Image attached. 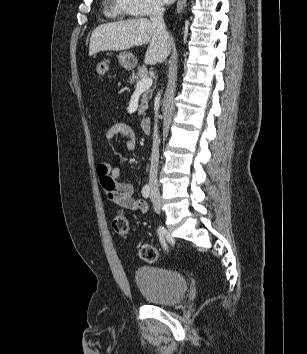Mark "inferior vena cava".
Returning a JSON list of instances; mask_svg holds the SVG:
<instances>
[{"label": "inferior vena cava", "mask_w": 307, "mask_h": 354, "mask_svg": "<svg viewBox=\"0 0 307 354\" xmlns=\"http://www.w3.org/2000/svg\"><path fill=\"white\" fill-rule=\"evenodd\" d=\"M164 7L160 4H156L153 6L150 14V20L154 27L160 31L166 41H169V34L166 31V26L163 20ZM160 95V93H159ZM158 109L155 112V125H154V133H153V146H152V155H151V165H150V173H149V185L152 194L159 193V185L157 180L158 174V164H159V143L160 139L158 136Z\"/></svg>", "instance_id": "602c4592"}]
</instances>
